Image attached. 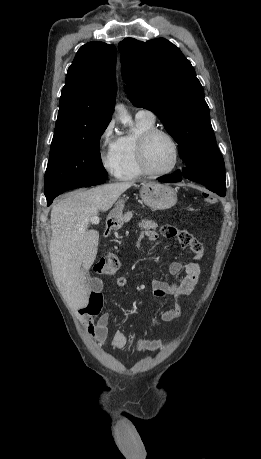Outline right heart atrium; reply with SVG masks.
<instances>
[{
    "instance_id": "1",
    "label": "right heart atrium",
    "mask_w": 261,
    "mask_h": 459,
    "mask_svg": "<svg viewBox=\"0 0 261 459\" xmlns=\"http://www.w3.org/2000/svg\"><path fill=\"white\" fill-rule=\"evenodd\" d=\"M100 161L104 169L111 175L117 176L119 159L114 138V122L110 121L101 131L98 138Z\"/></svg>"
}]
</instances>
